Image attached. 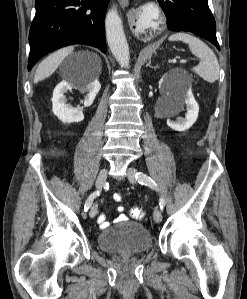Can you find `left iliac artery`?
Instances as JSON below:
<instances>
[{"mask_svg": "<svg viewBox=\"0 0 247 299\" xmlns=\"http://www.w3.org/2000/svg\"><path fill=\"white\" fill-rule=\"evenodd\" d=\"M136 179H138L139 183L142 185H147L148 187L154 189V190H158L156 183L146 174L139 172L135 175ZM159 206L160 209L163 210V208L165 207V199L163 197H160L159 200Z\"/></svg>", "mask_w": 247, "mask_h": 299, "instance_id": "obj_1", "label": "left iliac artery"}]
</instances>
